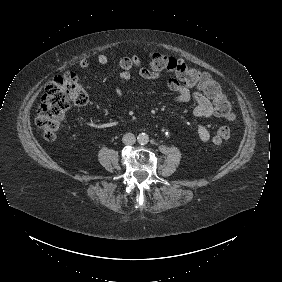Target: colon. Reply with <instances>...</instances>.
<instances>
[{"label": "colon", "mask_w": 282, "mask_h": 282, "mask_svg": "<svg viewBox=\"0 0 282 282\" xmlns=\"http://www.w3.org/2000/svg\"><path fill=\"white\" fill-rule=\"evenodd\" d=\"M151 69L156 72L178 74L186 86H195L214 101V110L227 121L235 119L231 101L224 94L220 84L211 75L201 73L192 66L162 53H152ZM88 96L74 73H65L51 80L44 89L35 125L47 140H53L64 124L65 112L70 107H82ZM231 131L227 126L219 127L212 141L218 149L225 148Z\"/></svg>", "instance_id": "colon-1"}]
</instances>
